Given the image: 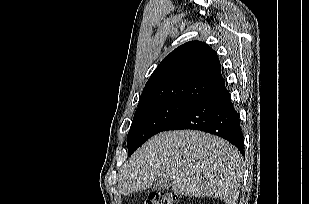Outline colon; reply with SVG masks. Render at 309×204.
Returning a JSON list of instances; mask_svg holds the SVG:
<instances>
[{"instance_id": "colon-1", "label": "colon", "mask_w": 309, "mask_h": 204, "mask_svg": "<svg viewBox=\"0 0 309 204\" xmlns=\"http://www.w3.org/2000/svg\"><path fill=\"white\" fill-rule=\"evenodd\" d=\"M177 196L167 191L152 192L144 204H176Z\"/></svg>"}]
</instances>
